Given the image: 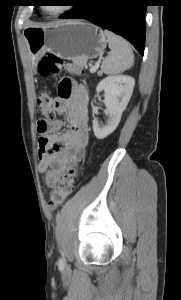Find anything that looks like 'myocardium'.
Here are the masks:
<instances>
[{"mask_svg":"<svg viewBox=\"0 0 181 300\" xmlns=\"http://www.w3.org/2000/svg\"><path fill=\"white\" fill-rule=\"evenodd\" d=\"M41 9L44 11V13H46L49 16L59 17V16H63L65 14H67L72 9V6L69 4H66V5H63V7L57 11H48V10H46L45 6H42Z\"/></svg>","mask_w":181,"mask_h":300,"instance_id":"obj_1","label":"myocardium"}]
</instances>
